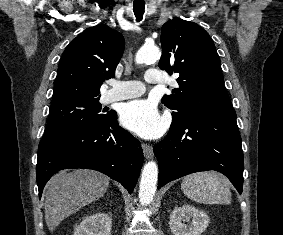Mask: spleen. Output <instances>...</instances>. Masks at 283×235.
I'll return each mask as SVG.
<instances>
[{
  "label": "spleen",
  "instance_id": "3e777b00",
  "mask_svg": "<svg viewBox=\"0 0 283 235\" xmlns=\"http://www.w3.org/2000/svg\"><path fill=\"white\" fill-rule=\"evenodd\" d=\"M181 189L185 196L201 204H230L231 191L220 174L198 172L184 177Z\"/></svg>",
  "mask_w": 283,
  "mask_h": 235
}]
</instances>
